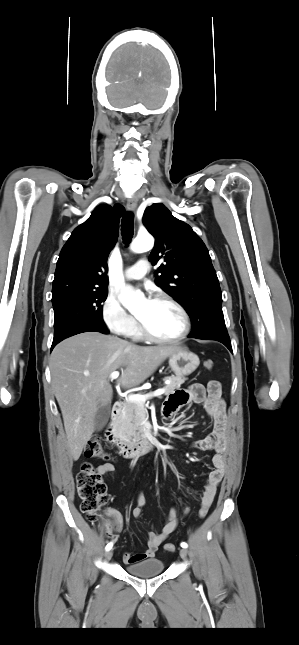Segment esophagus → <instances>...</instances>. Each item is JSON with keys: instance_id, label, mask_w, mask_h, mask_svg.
Wrapping results in <instances>:
<instances>
[{"instance_id": "esophagus-1", "label": "esophagus", "mask_w": 299, "mask_h": 645, "mask_svg": "<svg viewBox=\"0 0 299 645\" xmlns=\"http://www.w3.org/2000/svg\"><path fill=\"white\" fill-rule=\"evenodd\" d=\"M126 207L128 211L134 212L137 208V199L135 197L129 198Z\"/></svg>"}]
</instances>
